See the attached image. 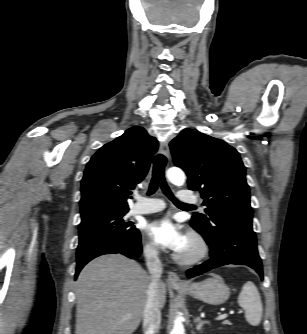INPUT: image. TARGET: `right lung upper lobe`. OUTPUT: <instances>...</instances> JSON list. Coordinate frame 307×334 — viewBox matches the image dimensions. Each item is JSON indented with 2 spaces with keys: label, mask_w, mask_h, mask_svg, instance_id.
<instances>
[{
  "label": "right lung upper lobe",
  "mask_w": 307,
  "mask_h": 334,
  "mask_svg": "<svg viewBox=\"0 0 307 334\" xmlns=\"http://www.w3.org/2000/svg\"><path fill=\"white\" fill-rule=\"evenodd\" d=\"M157 149V140L139 126L101 147L84 171L81 216L128 212V190L145 178Z\"/></svg>",
  "instance_id": "cb5924a9"
}]
</instances>
